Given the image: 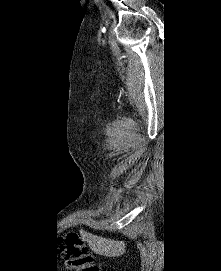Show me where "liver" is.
<instances>
[{
	"instance_id": "obj_1",
	"label": "liver",
	"mask_w": 221,
	"mask_h": 271,
	"mask_svg": "<svg viewBox=\"0 0 221 271\" xmlns=\"http://www.w3.org/2000/svg\"><path fill=\"white\" fill-rule=\"evenodd\" d=\"M84 241H88V245L92 251L100 253V255H108V257H116L122 255L125 251L126 243L124 241H117V239H110V237H100V235H93V233H82Z\"/></svg>"
}]
</instances>
